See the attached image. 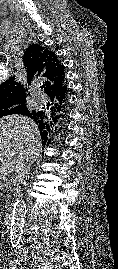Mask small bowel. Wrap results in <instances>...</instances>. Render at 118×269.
<instances>
[{"mask_svg":"<svg viewBox=\"0 0 118 269\" xmlns=\"http://www.w3.org/2000/svg\"><path fill=\"white\" fill-rule=\"evenodd\" d=\"M0 262H1V259H0ZM0 269H5L4 267L0 266Z\"/></svg>","mask_w":118,"mask_h":269,"instance_id":"obj_1","label":"small bowel"}]
</instances>
